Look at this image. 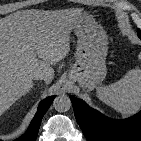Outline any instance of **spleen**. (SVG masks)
I'll return each instance as SVG.
<instances>
[{
  "label": "spleen",
  "mask_w": 141,
  "mask_h": 141,
  "mask_svg": "<svg viewBox=\"0 0 141 141\" xmlns=\"http://www.w3.org/2000/svg\"><path fill=\"white\" fill-rule=\"evenodd\" d=\"M99 99L115 111L129 115L141 107V70L132 69L114 83L97 87Z\"/></svg>",
  "instance_id": "3e777b00"
}]
</instances>
